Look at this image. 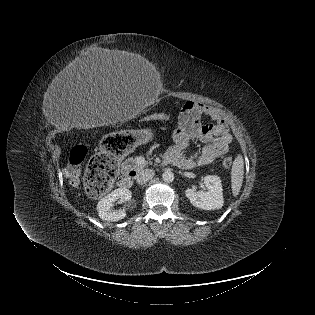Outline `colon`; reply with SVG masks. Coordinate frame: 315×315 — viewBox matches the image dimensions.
<instances>
[{"label": "colon", "instance_id": "obj_1", "mask_svg": "<svg viewBox=\"0 0 315 315\" xmlns=\"http://www.w3.org/2000/svg\"><path fill=\"white\" fill-rule=\"evenodd\" d=\"M167 117L166 114H157L150 117L148 120H164ZM87 153L88 149L83 145L75 146L70 153L71 182L74 184L78 181L79 168L86 158ZM222 163L224 167L230 168L233 160L231 157H226ZM117 173L118 166L115 158H110L104 153L95 155L91 159L85 174L84 183L86 190L93 196L105 194L115 181Z\"/></svg>", "mask_w": 315, "mask_h": 315}]
</instances>
